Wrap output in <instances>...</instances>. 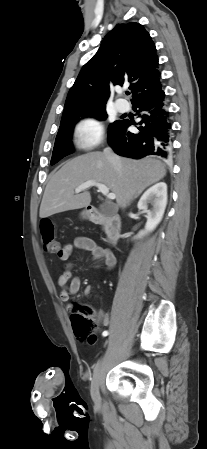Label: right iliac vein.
Returning <instances> with one entry per match:
<instances>
[{
	"instance_id": "obj_1",
	"label": "right iliac vein",
	"mask_w": 207,
	"mask_h": 449,
	"mask_svg": "<svg viewBox=\"0 0 207 449\" xmlns=\"http://www.w3.org/2000/svg\"><path fill=\"white\" fill-rule=\"evenodd\" d=\"M103 365H104V358H101L96 365V368L94 370V373H93V376L91 379L90 393H91L92 400L94 401L95 404H100L99 386H100V380H101L102 371H103Z\"/></svg>"
}]
</instances>
